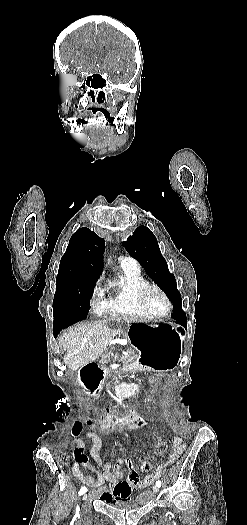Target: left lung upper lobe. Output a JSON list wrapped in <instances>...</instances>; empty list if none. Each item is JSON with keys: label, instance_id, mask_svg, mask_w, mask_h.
<instances>
[{"label": "left lung upper lobe", "instance_id": "obj_1", "mask_svg": "<svg viewBox=\"0 0 247 525\" xmlns=\"http://www.w3.org/2000/svg\"><path fill=\"white\" fill-rule=\"evenodd\" d=\"M122 245L167 294L173 303V318L176 322L186 325V314L182 310V299L177 290L175 277L169 272L155 235L146 226H139L127 241L122 242Z\"/></svg>", "mask_w": 247, "mask_h": 525}]
</instances>
